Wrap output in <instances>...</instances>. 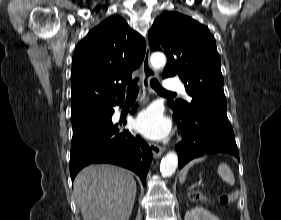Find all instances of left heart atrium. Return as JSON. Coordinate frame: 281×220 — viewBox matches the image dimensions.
<instances>
[{
    "mask_svg": "<svg viewBox=\"0 0 281 220\" xmlns=\"http://www.w3.org/2000/svg\"><path fill=\"white\" fill-rule=\"evenodd\" d=\"M134 127L149 139L162 140L168 136L171 124L159 107L150 106L138 114Z\"/></svg>",
    "mask_w": 281,
    "mask_h": 220,
    "instance_id": "1",
    "label": "left heart atrium"
}]
</instances>
